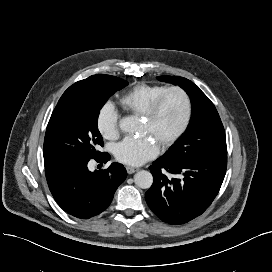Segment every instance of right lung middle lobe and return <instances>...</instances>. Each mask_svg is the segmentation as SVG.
<instances>
[{"mask_svg":"<svg viewBox=\"0 0 272 272\" xmlns=\"http://www.w3.org/2000/svg\"><path fill=\"white\" fill-rule=\"evenodd\" d=\"M127 81L110 75H96L77 92L60 98L47 125L44 158L92 159L102 153L103 139L97 127L99 111L107 99Z\"/></svg>","mask_w":272,"mask_h":272,"instance_id":"1","label":"right lung middle lobe"}]
</instances>
